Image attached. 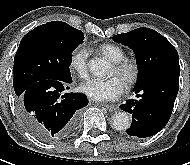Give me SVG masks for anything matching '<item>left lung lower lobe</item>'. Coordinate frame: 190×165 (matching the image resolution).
<instances>
[{"mask_svg":"<svg viewBox=\"0 0 190 165\" xmlns=\"http://www.w3.org/2000/svg\"><path fill=\"white\" fill-rule=\"evenodd\" d=\"M179 75L178 69H165L136 84L139 99L127 100L120 106L132 114V125L126 130L128 135L150 137L168 123L179 89Z\"/></svg>","mask_w":190,"mask_h":165,"instance_id":"left-lung-lower-lobe-1","label":"left lung lower lobe"}]
</instances>
